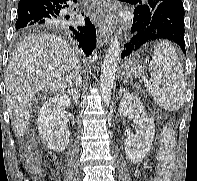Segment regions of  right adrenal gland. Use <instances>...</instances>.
Listing matches in <instances>:
<instances>
[{
	"label": "right adrenal gland",
	"mask_w": 197,
	"mask_h": 181,
	"mask_svg": "<svg viewBox=\"0 0 197 181\" xmlns=\"http://www.w3.org/2000/svg\"><path fill=\"white\" fill-rule=\"evenodd\" d=\"M69 88H70V86H69ZM69 88H68V93L70 95V98H72V100L75 102V104L78 105L79 104V97L76 93V90L69 89Z\"/></svg>",
	"instance_id": "obj_1"
}]
</instances>
